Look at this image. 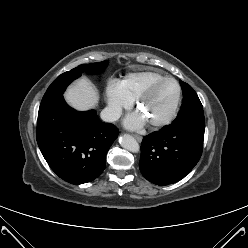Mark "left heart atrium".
Returning <instances> with one entry per match:
<instances>
[{"label":"left heart atrium","mask_w":248,"mask_h":248,"mask_svg":"<svg viewBox=\"0 0 248 248\" xmlns=\"http://www.w3.org/2000/svg\"><path fill=\"white\" fill-rule=\"evenodd\" d=\"M144 124H145L144 117L137 112L129 114L125 119V125L130 129L138 130L142 128Z\"/></svg>","instance_id":"obj_1"}]
</instances>
